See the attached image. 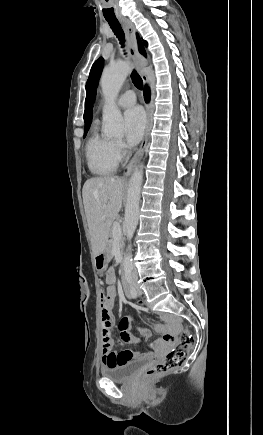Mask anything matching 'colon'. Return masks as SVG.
Wrapping results in <instances>:
<instances>
[{
    "label": "colon",
    "instance_id": "1",
    "mask_svg": "<svg viewBox=\"0 0 263 435\" xmlns=\"http://www.w3.org/2000/svg\"><path fill=\"white\" fill-rule=\"evenodd\" d=\"M104 293H100L101 302L104 300ZM103 342L101 343V348L103 350H113L115 343V336L109 328L103 331ZM193 344L192 337L188 334V330H183V334L180 339V344L178 347L170 350L163 360L155 363L149 367L143 374L142 379L145 382H150L158 377L164 375L168 371L181 366L185 359L188 351L191 349Z\"/></svg>",
    "mask_w": 263,
    "mask_h": 435
}]
</instances>
